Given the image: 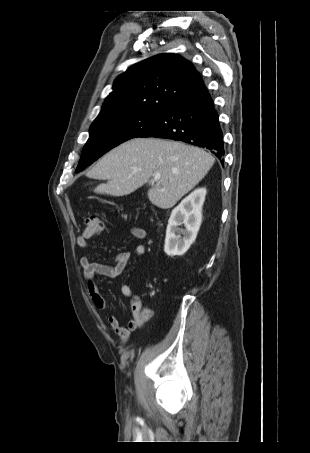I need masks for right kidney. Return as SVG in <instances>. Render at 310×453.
I'll return each mask as SVG.
<instances>
[{
  "label": "right kidney",
  "mask_w": 310,
  "mask_h": 453,
  "mask_svg": "<svg viewBox=\"0 0 310 453\" xmlns=\"http://www.w3.org/2000/svg\"><path fill=\"white\" fill-rule=\"evenodd\" d=\"M206 192L205 188L195 189L172 211L164 245V252L168 256L183 255L195 241L202 222V206ZM182 224L185 229L179 228Z\"/></svg>",
  "instance_id": "obj_1"
}]
</instances>
